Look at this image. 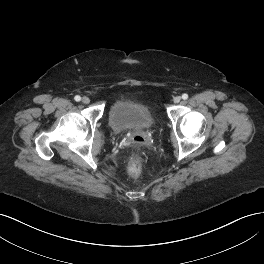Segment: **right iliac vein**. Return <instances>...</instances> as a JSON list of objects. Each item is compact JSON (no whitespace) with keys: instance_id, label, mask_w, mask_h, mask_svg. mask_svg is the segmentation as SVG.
<instances>
[{"instance_id":"obj_1","label":"right iliac vein","mask_w":264,"mask_h":264,"mask_svg":"<svg viewBox=\"0 0 264 264\" xmlns=\"http://www.w3.org/2000/svg\"><path fill=\"white\" fill-rule=\"evenodd\" d=\"M82 103L88 104L90 102V99L87 96L82 97Z\"/></svg>"}]
</instances>
